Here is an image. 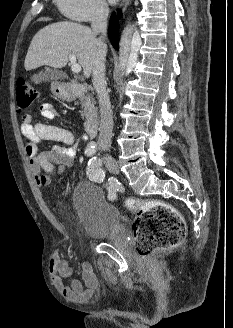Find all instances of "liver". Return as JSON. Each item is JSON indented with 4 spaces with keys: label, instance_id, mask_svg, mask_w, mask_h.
<instances>
[{
    "label": "liver",
    "instance_id": "obj_1",
    "mask_svg": "<svg viewBox=\"0 0 233 328\" xmlns=\"http://www.w3.org/2000/svg\"><path fill=\"white\" fill-rule=\"evenodd\" d=\"M107 53V46L100 44L91 28L72 22L61 21L47 25L36 33L24 62L26 71L47 65L63 68L74 54L85 77H89L99 54Z\"/></svg>",
    "mask_w": 233,
    "mask_h": 328
}]
</instances>
